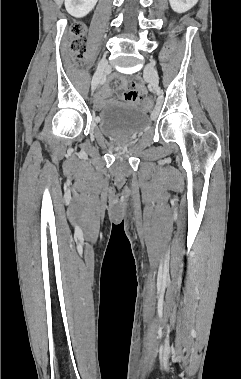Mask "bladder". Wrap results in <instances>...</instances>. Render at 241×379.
Here are the masks:
<instances>
[{
	"instance_id": "obj_1",
	"label": "bladder",
	"mask_w": 241,
	"mask_h": 379,
	"mask_svg": "<svg viewBox=\"0 0 241 379\" xmlns=\"http://www.w3.org/2000/svg\"><path fill=\"white\" fill-rule=\"evenodd\" d=\"M99 130L108 138L124 140L138 136L149 126V116L139 106L114 104L97 117Z\"/></svg>"
}]
</instances>
